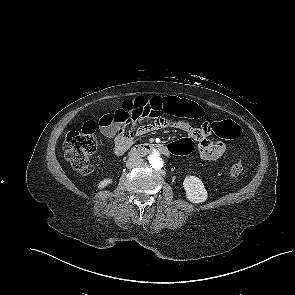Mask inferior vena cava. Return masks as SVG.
Instances as JSON below:
<instances>
[{
    "instance_id": "602c4592",
    "label": "inferior vena cava",
    "mask_w": 295,
    "mask_h": 295,
    "mask_svg": "<svg viewBox=\"0 0 295 295\" xmlns=\"http://www.w3.org/2000/svg\"><path fill=\"white\" fill-rule=\"evenodd\" d=\"M144 164V160L138 156H131L127 162H126V167L129 169L135 168V167H140Z\"/></svg>"
}]
</instances>
